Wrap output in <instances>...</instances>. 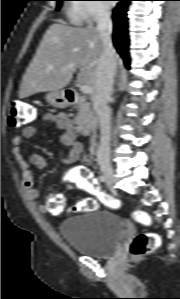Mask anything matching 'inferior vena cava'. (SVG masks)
Here are the masks:
<instances>
[{"mask_svg": "<svg viewBox=\"0 0 180 299\" xmlns=\"http://www.w3.org/2000/svg\"><path fill=\"white\" fill-rule=\"evenodd\" d=\"M97 31L102 37L103 52L99 58L96 71L95 90L93 94L94 110L99 118L100 142L97 151L99 160L108 159L110 154L111 109L108 101L113 92L116 64L111 41L112 21L110 12L99 8L96 15Z\"/></svg>", "mask_w": 180, "mask_h": 299, "instance_id": "602c4592", "label": "inferior vena cava"}]
</instances>
